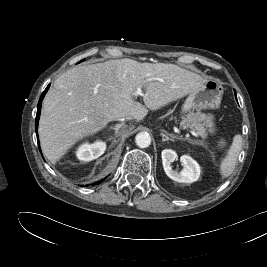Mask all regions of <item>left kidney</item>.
<instances>
[{"instance_id":"obj_1","label":"left kidney","mask_w":267,"mask_h":267,"mask_svg":"<svg viewBox=\"0 0 267 267\" xmlns=\"http://www.w3.org/2000/svg\"><path fill=\"white\" fill-rule=\"evenodd\" d=\"M161 155L164 171L170 179L180 183H192L198 180L201 172L200 166L192 157L188 155L181 156L180 161L183 170L177 172L171 167V163L178 157L177 153L171 149H164Z\"/></svg>"}]
</instances>
